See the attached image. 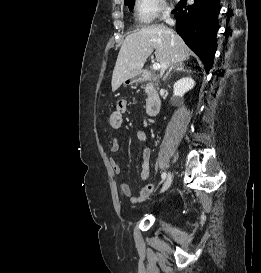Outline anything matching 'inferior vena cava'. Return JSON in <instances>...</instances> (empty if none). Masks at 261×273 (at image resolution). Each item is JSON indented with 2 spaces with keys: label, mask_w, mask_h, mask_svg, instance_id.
I'll use <instances>...</instances> for the list:
<instances>
[{
  "label": "inferior vena cava",
  "mask_w": 261,
  "mask_h": 273,
  "mask_svg": "<svg viewBox=\"0 0 261 273\" xmlns=\"http://www.w3.org/2000/svg\"><path fill=\"white\" fill-rule=\"evenodd\" d=\"M164 19H165V22L167 24H169L170 26H174L175 25V21L171 18L169 10L166 11V13L164 15Z\"/></svg>",
  "instance_id": "1"
}]
</instances>
